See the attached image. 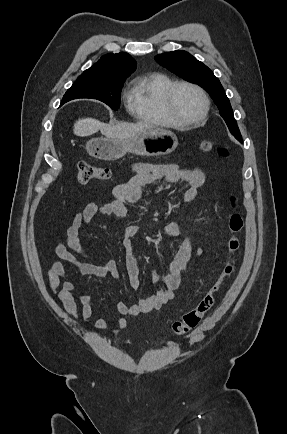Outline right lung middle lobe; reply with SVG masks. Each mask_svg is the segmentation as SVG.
Instances as JSON below:
<instances>
[{"label": "right lung middle lobe", "mask_w": 287, "mask_h": 434, "mask_svg": "<svg viewBox=\"0 0 287 434\" xmlns=\"http://www.w3.org/2000/svg\"><path fill=\"white\" fill-rule=\"evenodd\" d=\"M124 81L79 77L65 93L61 105L72 99L93 98L106 103L111 109L117 110L120 106V93Z\"/></svg>", "instance_id": "right-lung-middle-lobe-1"}]
</instances>
